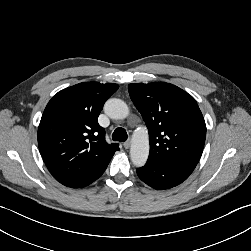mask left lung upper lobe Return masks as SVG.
<instances>
[{"mask_svg": "<svg viewBox=\"0 0 251 251\" xmlns=\"http://www.w3.org/2000/svg\"><path fill=\"white\" fill-rule=\"evenodd\" d=\"M128 90L149 131L148 161L195 169L206 137L205 121L195 99L163 82L129 84Z\"/></svg>", "mask_w": 251, "mask_h": 251, "instance_id": "obj_1", "label": "left lung upper lobe"}]
</instances>
